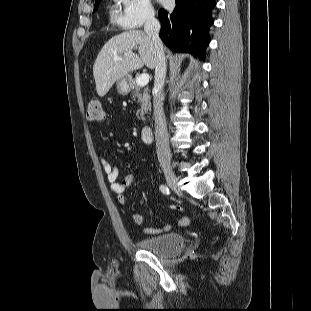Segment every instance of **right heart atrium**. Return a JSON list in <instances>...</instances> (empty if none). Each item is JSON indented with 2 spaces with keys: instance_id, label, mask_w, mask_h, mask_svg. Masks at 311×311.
Instances as JSON below:
<instances>
[{
  "instance_id": "1",
  "label": "right heart atrium",
  "mask_w": 311,
  "mask_h": 311,
  "mask_svg": "<svg viewBox=\"0 0 311 311\" xmlns=\"http://www.w3.org/2000/svg\"><path fill=\"white\" fill-rule=\"evenodd\" d=\"M113 12L116 24L124 30H136L154 18L150 0H115Z\"/></svg>"
}]
</instances>
